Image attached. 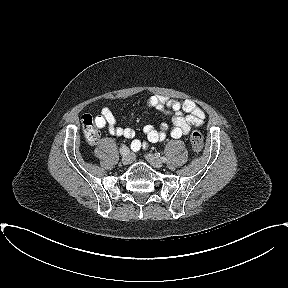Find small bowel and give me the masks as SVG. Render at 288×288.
Returning a JSON list of instances; mask_svg holds the SVG:
<instances>
[{
  "label": "small bowel",
  "instance_id": "1",
  "mask_svg": "<svg viewBox=\"0 0 288 288\" xmlns=\"http://www.w3.org/2000/svg\"><path fill=\"white\" fill-rule=\"evenodd\" d=\"M147 105L165 111L170 116L171 122L161 124L159 129L153 125L144 126L146 141L135 138V131L132 128L119 126L116 117L108 107H104L96 116L95 124L99 128H106L111 135L132 139L131 149L136 152L146 148L149 143L162 142L167 134L175 139L181 138L187 135L193 126H201L204 123V111L192 100L178 101L154 95L148 99Z\"/></svg>",
  "mask_w": 288,
  "mask_h": 288
}]
</instances>
